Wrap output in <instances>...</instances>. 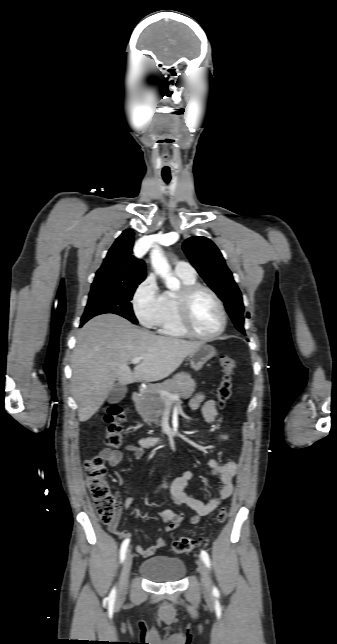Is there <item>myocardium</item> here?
I'll return each mask as SVG.
<instances>
[{
	"instance_id": "f54148a6",
	"label": "myocardium",
	"mask_w": 337,
	"mask_h": 644,
	"mask_svg": "<svg viewBox=\"0 0 337 644\" xmlns=\"http://www.w3.org/2000/svg\"><path fill=\"white\" fill-rule=\"evenodd\" d=\"M202 291H205L211 295V297L217 303L221 313V325L219 329L215 333L208 336H204L197 333L193 328V325L191 322L192 301L195 298V296ZM177 315H178L179 323L183 328V330L187 333V335L201 341H213L218 337H220L224 333L228 322L227 311L222 299L212 288L200 283H194L191 285L184 286L179 291L177 295Z\"/></svg>"
}]
</instances>
